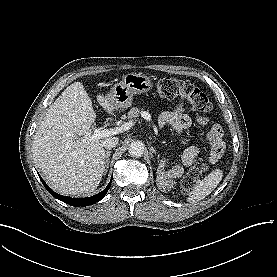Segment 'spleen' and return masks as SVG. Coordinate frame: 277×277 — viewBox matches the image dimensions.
<instances>
[{
	"instance_id": "1",
	"label": "spleen",
	"mask_w": 277,
	"mask_h": 277,
	"mask_svg": "<svg viewBox=\"0 0 277 277\" xmlns=\"http://www.w3.org/2000/svg\"><path fill=\"white\" fill-rule=\"evenodd\" d=\"M222 177L223 172L220 169H216L209 173L199 184L194 186L189 194L188 201L195 202L204 199L217 187Z\"/></svg>"
}]
</instances>
